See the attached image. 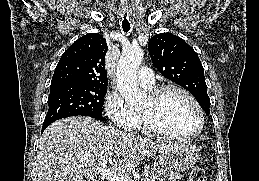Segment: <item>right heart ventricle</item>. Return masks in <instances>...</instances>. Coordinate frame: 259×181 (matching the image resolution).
I'll return each instance as SVG.
<instances>
[{
	"instance_id": "obj_1",
	"label": "right heart ventricle",
	"mask_w": 259,
	"mask_h": 181,
	"mask_svg": "<svg viewBox=\"0 0 259 181\" xmlns=\"http://www.w3.org/2000/svg\"><path fill=\"white\" fill-rule=\"evenodd\" d=\"M141 127H142V123H141L140 118L138 117L136 124H135V129H141Z\"/></svg>"
}]
</instances>
